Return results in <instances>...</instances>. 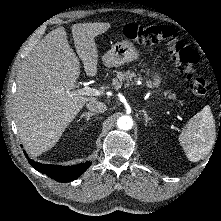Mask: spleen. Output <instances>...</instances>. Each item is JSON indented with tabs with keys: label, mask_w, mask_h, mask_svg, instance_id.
Here are the masks:
<instances>
[{
	"label": "spleen",
	"mask_w": 221,
	"mask_h": 221,
	"mask_svg": "<svg viewBox=\"0 0 221 221\" xmlns=\"http://www.w3.org/2000/svg\"><path fill=\"white\" fill-rule=\"evenodd\" d=\"M216 140V127L210 107L205 106L183 128L179 141L192 162L204 159Z\"/></svg>",
	"instance_id": "3e777b00"
}]
</instances>
